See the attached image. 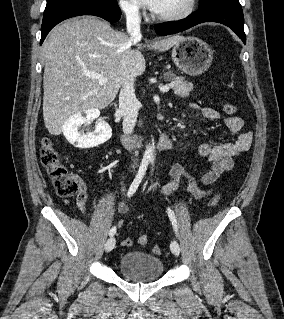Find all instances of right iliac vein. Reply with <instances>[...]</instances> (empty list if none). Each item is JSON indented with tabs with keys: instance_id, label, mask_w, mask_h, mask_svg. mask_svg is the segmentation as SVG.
<instances>
[{
	"instance_id": "right-iliac-vein-1",
	"label": "right iliac vein",
	"mask_w": 284,
	"mask_h": 319,
	"mask_svg": "<svg viewBox=\"0 0 284 319\" xmlns=\"http://www.w3.org/2000/svg\"><path fill=\"white\" fill-rule=\"evenodd\" d=\"M116 240L114 237L109 238L105 243V251L110 252L115 247Z\"/></svg>"
}]
</instances>
